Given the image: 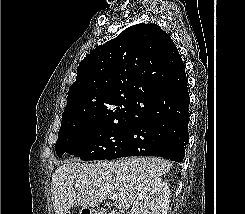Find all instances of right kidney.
I'll return each mask as SVG.
<instances>
[{
	"instance_id": "obj_1",
	"label": "right kidney",
	"mask_w": 245,
	"mask_h": 214,
	"mask_svg": "<svg viewBox=\"0 0 245 214\" xmlns=\"http://www.w3.org/2000/svg\"><path fill=\"white\" fill-rule=\"evenodd\" d=\"M169 202V186L157 177L142 189L133 203L130 214H167Z\"/></svg>"
}]
</instances>
